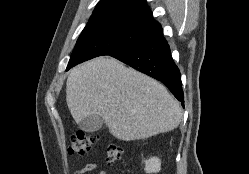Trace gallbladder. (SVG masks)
<instances>
[{"label":"gallbladder","mask_w":249,"mask_h":174,"mask_svg":"<svg viewBox=\"0 0 249 174\" xmlns=\"http://www.w3.org/2000/svg\"><path fill=\"white\" fill-rule=\"evenodd\" d=\"M104 120L99 115H90L79 122V127L86 132H95L102 128Z\"/></svg>","instance_id":"obj_1"}]
</instances>
